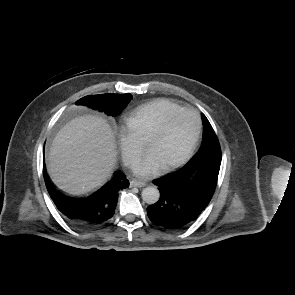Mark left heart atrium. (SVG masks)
I'll use <instances>...</instances> for the list:
<instances>
[{
    "label": "left heart atrium",
    "instance_id": "39dd6f15",
    "mask_svg": "<svg viewBox=\"0 0 295 295\" xmlns=\"http://www.w3.org/2000/svg\"><path fill=\"white\" fill-rule=\"evenodd\" d=\"M160 168L161 166L154 156L148 154L134 166L133 171L139 176H149L156 173Z\"/></svg>",
    "mask_w": 295,
    "mask_h": 295
}]
</instances>
